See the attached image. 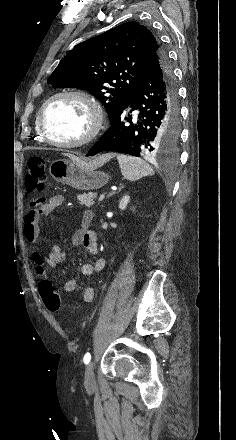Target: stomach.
Masks as SVG:
<instances>
[{"mask_svg": "<svg viewBox=\"0 0 236 440\" xmlns=\"http://www.w3.org/2000/svg\"><path fill=\"white\" fill-rule=\"evenodd\" d=\"M54 180L78 190H94L106 185L109 175L73 159L54 160L49 166Z\"/></svg>", "mask_w": 236, "mask_h": 440, "instance_id": "stomach-1", "label": "stomach"}]
</instances>
